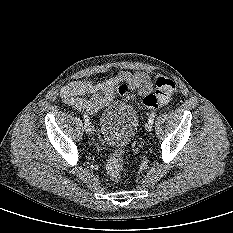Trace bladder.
Returning <instances> with one entry per match:
<instances>
[{
    "label": "bladder",
    "mask_w": 233,
    "mask_h": 233,
    "mask_svg": "<svg viewBox=\"0 0 233 233\" xmlns=\"http://www.w3.org/2000/svg\"><path fill=\"white\" fill-rule=\"evenodd\" d=\"M139 125L136 109L128 102L114 101L103 110L100 130L104 141L110 146H124L134 138Z\"/></svg>",
    "instance_id": "bladder-1"
}]
</instances>
